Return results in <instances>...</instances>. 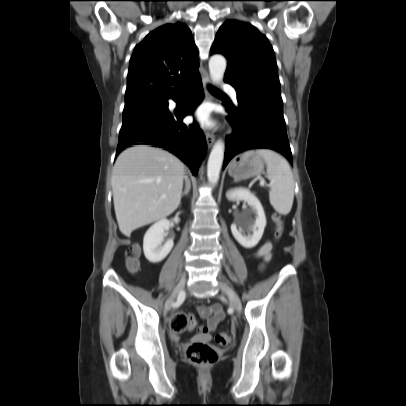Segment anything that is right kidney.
<instances>
[{"mask_svg": "<svg viewBox=\"0 0 406 406\" xmlns=\"http://www.w3.org/2000/svg\"><path fill=\"white\" fill-rule=\"evenodd\" d=\"M174 222H178V219H174ZM171 222L166 219H162L153 224L146 232L143 240V250L145 257L151 263H158L162 261L173 248V240L169 239L162 245L164 241V231L168 230Z\"/></svg>", "mask_w": 406, "mask_h": 406, "instance_id": "obj_1", "label": "right kidney"}]
</instances>
